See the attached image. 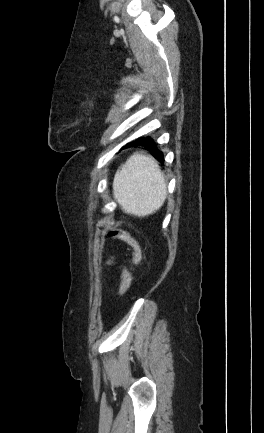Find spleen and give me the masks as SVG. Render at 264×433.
Segmentation results:
<instances>
[{
    "mask_svg": "<svg viewBox=\"0 0 264 433\" xmlns=\"http://www.w3.org/2000/svg\"><path fill=\"white\" fill-rule=\"evenodd\" d=\"M113 194L126 213L138 217L155 213L167 196V185L158 162L151 156L134 153L117 170Z\"/></svg>",
    "mask_w": 264,
    "mask_h": 433,
    "instance_id": "1",
    "label": "spleen"
}]
</instances>
